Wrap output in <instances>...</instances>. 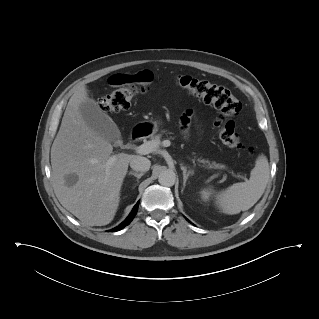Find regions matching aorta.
<instances>
[{"mask_svg": "<svg viewBox=\"0 0 319 319\" xmlns=\"http://www.w3.org/2000/svg\"><path fill=\"white\" fill-rule=\"evenodd\" d=\"M176 175L175 173L170 170H164L159 174L158 181L161 185L171 187L175 184Z\"/></svg>", "mask_w": 319, "mask_h": 319, "instance_id": "1", "label": "aorta"}]
</instances>
